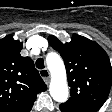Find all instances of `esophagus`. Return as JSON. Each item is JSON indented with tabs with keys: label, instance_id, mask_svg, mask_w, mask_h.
Returning a JSON list of instances; mask_svg holds the SVG:
<instances>
[{
	"label": "esophagus",
	"instance_id": "esophagus-1",
	"mask_svg": "<svg viewBox=\"0 0 112 112\" xmlns=\"http://www.w3.org/2000/svg\"><path fill=\"white\" fill-rule=\"evenodd\" d=\"M39 73H40L42 79L44 80V82L46 84H49V82H50V73H49L48 69H42V70H40Z\"/></svg>",
	"mask_w": 112,
	"mask_h": 112
}]
</instances>
